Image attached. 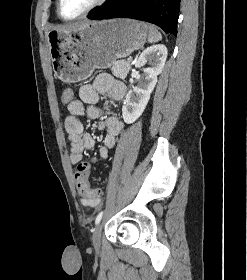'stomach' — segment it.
<instances>
[{
	"label": "stomach",
	"instance_id": "1",
	"mask_svg": "<svg viewBox=\"0 0 247 280\" xmlns=\"http://www.w3.org/2000/svg\"><path fill=\"white\" fill-rule=\"evenodd\" d=\"M148 26L131 19L92 22L86 27L47 34L56 77L75 83L87 79L95 69L111 67L118 59L140 49Z\"/></svg>",
	"mask_w": 247,
	"mask_h": 280
}]
</instances>
